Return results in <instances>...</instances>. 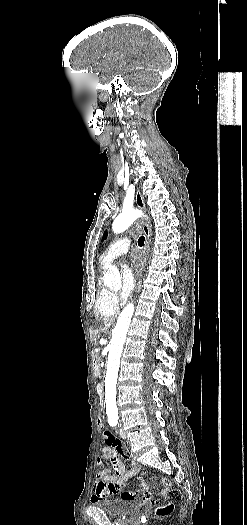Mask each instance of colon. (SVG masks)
<instances>
[{"label": "colon", "instance_id": "5ec220e1", "mask_svg": "<svg viewBox=\"0 0 247 525\" xmlns=\"http://www.w3.org/2000/svg\"><path fill=\"white\" fill-rule=\"evenodd\" d=\"M95 424L97 426V430L99 432H102L104 430L106 421L104 418L99 417L96 419ZM163 490L165 491V496L161 498L162 500L161 504H164L166 506V511L164 513H159L157 511V507H155V513L156 515H159V516L170 513L172 510L173 504L182 498V494L178 489H163Z\"/></svg>", "mask_w": 247, "mask_h": 525}]
</instances>
